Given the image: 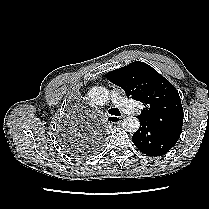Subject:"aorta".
Here are the masks:
<instances>
[{
    "label": "aorta",
    "instance_id": "aorta-1",
    "mask_svg": "<svg viewBox=\"0 0 209 209\" xmlns=\"http://www.w3.org/2000/svg\"><path fill=\"white\" fill-rule=\"evenodd\" d=\"M89 100L95 105H104L109 100V91L102 86H94L88 91ZM123 129L127 132H136L140 127L138 118L129 116L122 121Z\"/></svg>",
    "mask_w": 209,
    "mask_h": 209
}]
</instances>
